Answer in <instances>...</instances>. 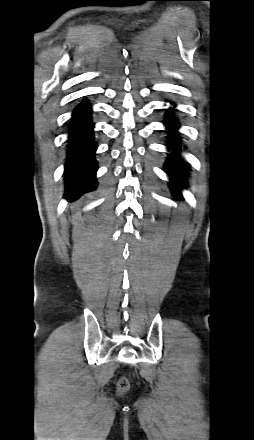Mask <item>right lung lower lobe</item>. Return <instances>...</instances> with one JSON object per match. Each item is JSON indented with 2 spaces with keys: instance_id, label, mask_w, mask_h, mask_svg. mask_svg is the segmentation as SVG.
I'll return each instance as SVG.
<instances>
[{
  "instance_id": "1",
  "label": "right lung lower lobe",
  "mask_w": 254,
  "mask_h": 440,
  "mask_svg": "<svg viewBox=\"0 0 254 440\" xmlns=\"http://www.w3.org/2000/svg\"><path fill=\"white\" fill-rule=\"evenodd\" d=\"M91 120V105L83 101L72 114L67 140L65 164V196L70 200L95 189V173L98 169L95 159L97 144Z\"/></svg>"
}]
</instances>
